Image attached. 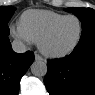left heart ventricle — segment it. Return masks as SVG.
I'll use <instances>...</instances> for the list:
<instances>
[{
    "mask_svg": "<svg viewBox=\"0 0 95 95\" xmlns=\"http://www.w3.org/2000/svg\"><path fill=\"white\" fill-rule=\"evenodd\" d=\"M79 34V22L75 18L65 20L46 41L52 51H63L71 47Z\"/></svg>",
    "mask_w": 95,
    "mask_h": 95,
    "instance_id": "b2bd125f",
    "label": "left heart ventricle"
}]
</instances>
